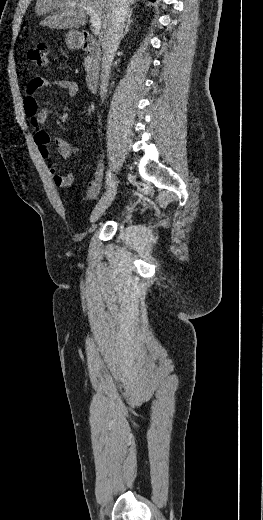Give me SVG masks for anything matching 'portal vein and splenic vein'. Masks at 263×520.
I'll return each instance as SVG.
<instances>
[{
  "mask_svg": "<svg viewBox=\"0 0 263 520\" xmlns=\"http://www.w3.org/2000/svg\"><path fill=\"white\" fill-rule=\"evenodd\" d=\"M75 5H76L75 3L69 4L70 7H74ZM83 8L86 10L87 14L91 18V26L93 28V31H95V32L99 31L100 26H101V19L99 18V16L95 13V11L91 7L84 6Z\"/></svg>",
  "mask_w": 263,
  "mask_h": 520,
  "instance_id": "1",
  "label": "portal vein and splenic vein"
}]
</instances>
